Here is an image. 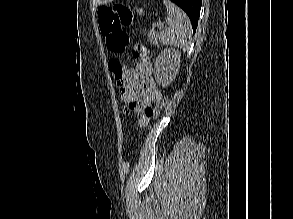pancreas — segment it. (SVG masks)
Here are the masks:
<instances>
[{
  "label": "pancreas",
  "instance_id": "pancreas-1",
  "mask_svg": "<svg viewBox=\"0 0 293 219\" xmlns=\"http://www.w3.org/2000/svg\"><path fill=\"white\" fill-rule=\"evenodd\" d=\"M148 39L151 43L158 46L159 34L156 31L150 30L148 33Z\"/></svg>",
  "mask_w": 293,
  "mask_h": 219
}]
</instances>
